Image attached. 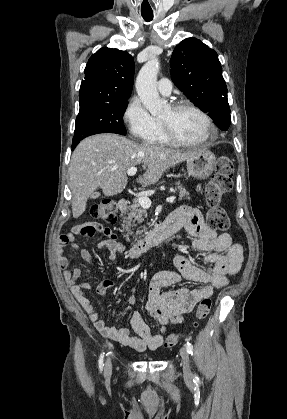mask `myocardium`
Returning a JSON list of instances; mask_svg holds the SVG:
<instances>
[{"mask_svg":"<svg viewBox=\"0 0 287 419\" xmlns=\"http://www.w3.org/2000/svg\"><path fill=\"white\" fill-rule=\"evenodd\" d=\"M171 107L174 110L185 109V108L186 109H191V110L195 111L196 113H198L202 117V119L204 120V122L207 126L208 133L201 140L185 141V140H182V139L178 138L165 123L160 121L164 137L170 144L185 146V147H198V146H203V145L211 142L212 140H214L216 138L217 129H216L212 119L199 106H197L196 104H194L192 102H189V101H180V102H177V103L173 104Z\"/></svg>","mask_w":287,"mask_h":419,"instance_id":"1","label":"myocardium"}]
</instances>
